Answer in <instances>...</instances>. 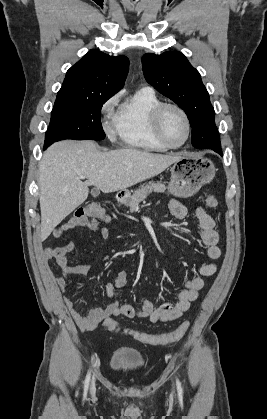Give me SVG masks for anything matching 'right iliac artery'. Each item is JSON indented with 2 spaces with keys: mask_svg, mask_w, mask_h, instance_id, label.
<instances>
[{
  "mask_svg": "<svg viewBox=\"0 0 267 419\" xmlns=\"http://www.w3.org/2000/svg\"><path fill=\"white\" fill-rule=\"evenodd\" d=\"M90 376H91V373L89 372L86 376L85 384H84L85 393L87 392V389H88V386H89Z\"/></svg>",
  "mask_w": 267,
  "mask_h": 419,
  "instance_id": "obj_1",
  "label": "right iliac artery"
}]
</instances>
